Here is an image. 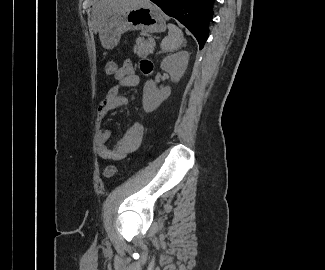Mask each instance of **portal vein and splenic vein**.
I'll list each match as a JSON object with an SVG mask.
<instances>
[{"label": "portal vein and splenic vein", "instance_id": "18ae733b", "mask_svg": "<svg viewBox=\"0 0 325 270\" xmlns=\"http://www.w3.org/2000/svg\"><path fill=\"white\" fill-rule=\"evenodd\" d=\"M151 41H152V43H153V46H155V41H154V39H151Z\"/></svg>", "mask_w": 325, "mask_h": 270}]
</instances>
